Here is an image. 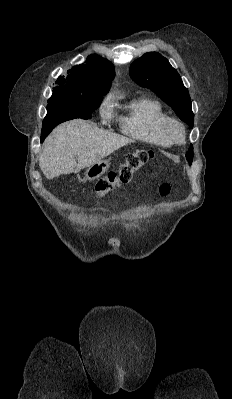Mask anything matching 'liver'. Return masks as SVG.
Listing matches in <instances>:
<instances>
[{
  "instance_id": "1",
  "label": "liver",
  "mask_w": 232,
  "mask_h": 399,
  "mask_svg": "<svg viewBox=\"0 0 232 399\" xmlns=\"http://www.w3.org/2000/svg\"><path fill=\"white\" fill-rule=\"evenodd\" d=\"M131 142L120 134L100 130L93 122L72 120L57 126L45 140L39 166L45 178L53 180L61 174L90 168Z\"/></svg>"
}]
</instances>
